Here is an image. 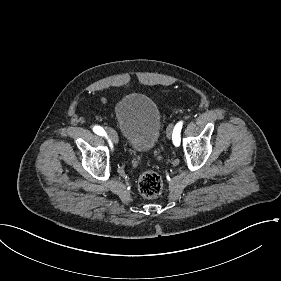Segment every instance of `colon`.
<instances>
[{"mask_svg": "<svg viewBox=\"0 0 281 281\" xmlns=\"http://www.w3.org/2000/svg\"><path fill=\"white\" fill-rule=\"evenodd\" d=\"M163 186L160 174L154 170L144 171L138 180V188L142 195L147 198H155L160 195Z\"/></svg>", "mask_w": 281, "mask_h": 281, "instance_id": "1", "label": "colon"}]
</instances>
